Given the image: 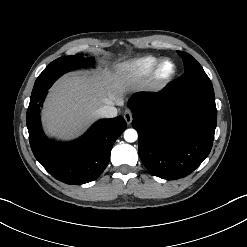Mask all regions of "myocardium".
I'll use <instances>...</instances> for the list:
<instances>
[{
    "label": "myocardium",
    "instance_id": "1",
    "mask_svg": "<svg viewBox=\"0 0 247 247\" xmlns=\"http://www.w3.org/2000/svg\"><path fill=\"white\" fill-rule=\"evenodd\" d=\"M171 62L173 64V71L170 75L162 77L160 75L161 67L164 63ZM178 67L177 64L170 58L161 59L154 67L150 74V84L153 88H161L169 84L177 75Z\"/></svg>",
    "mask_w": 247,
    "mask_h": 247
}]
</instances>
